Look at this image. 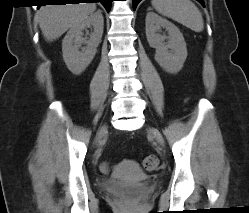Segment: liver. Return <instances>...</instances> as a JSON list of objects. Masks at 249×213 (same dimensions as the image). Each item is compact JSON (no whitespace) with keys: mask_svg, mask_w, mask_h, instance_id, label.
I'll use <instances>...</instances> for the list:
<instances>
[{"mask_svg":"<svg viewBox=\"0 0 249 213\" xmlns=\"http://www.w3.org/2000/svg\"><path fill=\"white\" fill-rule=\"evenodd\" d=\"M95 10V3L46 5L40 7L36 18L45 39L53 41L93 14Z\"/></svg>","mask_w":249,"mask_h":213,"instance_id":"1","label":"liver"}]
</instances>
